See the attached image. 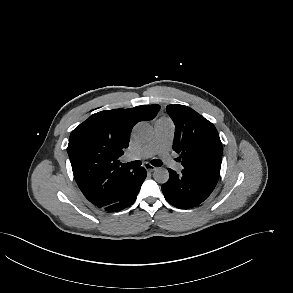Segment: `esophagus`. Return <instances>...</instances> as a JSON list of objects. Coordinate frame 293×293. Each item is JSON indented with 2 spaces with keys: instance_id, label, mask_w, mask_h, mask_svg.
Masks as SVG:
<instances>
[{
  "instance_id": "obj_1",
  "label": "esophagus",
  "mask_w": 293,
  "mask_h": 293,
  "mask_svg": "<svg viewBox=\"0 0 293 293\" xmlns=\"http://www.w3.org/2000/svg\"><path fill=\"white\" fill-rule=\"evenodd\" d=\"M144 168L148 171V172H153L155 171L157 168L153 165H151L150 163H146L144 165Z\"/></svg>"
}]
</instances>
